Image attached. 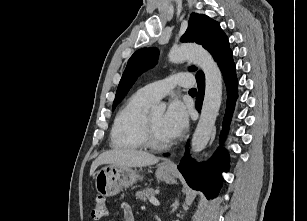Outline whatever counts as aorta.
I'll use <instances>...</instances> for the list:
<instances>
[{
  "mask_svg": "<svg viewBox=\"0 0 307 221\" xmlns=\"http://www.w3.org/2000/svg\"><path fill=\"white\" fill-rule=\"evenodd\" d=\"M169 61L181 63L191 61L198 65L205 75V95L201 115L192 137V151L201 152L209 142L222 101L221 71L208 51L196 45L173 47L168 54ZM158 109L164 110V104Z\"/></svg>",
  "mask_w": 307,
  "mask_h": 221,
  "instance_id": "762f6f07",
  "label": "aorta"
}]
</instances>
